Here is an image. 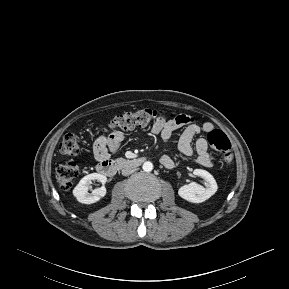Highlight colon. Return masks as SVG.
<instances>
[{
    "instance_id": "5ec220e1",
    "label": "colon",
    "mask_w": 289,
    "mask_h": 289,
    "mask_svg": "<svg viewBox=\"0 0 289 289\" xmlns=\"http://www.w3.org/2000/svg\"><path fill=\"white\" fill-rule=\"evenodd\" d=\"M176 114L162 110L141 109L135 112H125L116 115L104 127V131L113 134L117 131H127L136 127H144L162 118H174ZM210 146L221 153L227 162L232 161L231 143L226 134L218 129L207 135ZM62 154L75 156L79 153V144L74 134H67L59 145ZM79 174L78 166L73 161L61 162L56 167V177L61 188L68 190Z\"/></svg>"
}]
</instances>
